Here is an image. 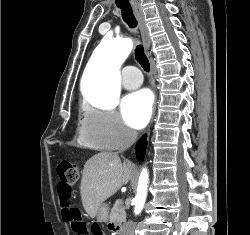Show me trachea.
Masks as SVG:
<instances>
[{"mask_svg":"<svg viewBox=\"0 0 250 235\" xmlns=\"http://www.w3.org/2000/svg\"><path fill=\"white\" fill-rule=\"evenodd\" d=\"M117 7L121 10L123 20L128 24L130 28H135L137 26V20L133 14L132 7L128 6H121L117 5ZM135 56L136 60L139 62L141 67L146 71L149 72L150 64L149 61L144 53V48L142 45H137L135 49Z\"/></svg>","mask_w":250,"mask_h":235,"instance_id":"1","label":"trachea"}]
</instances>
